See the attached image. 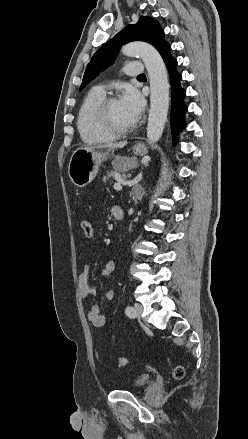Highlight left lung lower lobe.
Segmentation results:
<instances>
[{
  "label": "left lung lower lobe",
  "instance_id": "1",
  "mask_svg": "<svg viewBox=\"0 0 248 439\" xmlns=\"http://www.w3.org/2000/svg\"><path fill=\"white\" fill-rule=\"evenodd\" d=\"M171 47L166 45L160 52L163 58L171 81V91H172V107H171V127L174 133L179 129L185 127L184 116L187 112V107L184 103V97L186 91L180 87V81L182 80V75L176 71L177 60L171 56Z\"/></svg>",
  "mask_w": 248,
  "mask_h": 439
}]
</instances>
